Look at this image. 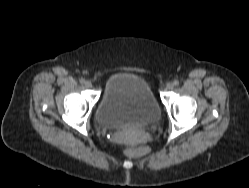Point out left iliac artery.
I'll list each match as a JSON object with an SVG mask.
<instances>
[{"label":"left iliac artery","instance_id":"1","mask_svg":"<svg viewBox=\"0 0 249 188\" xmlns=\"http://www.w3.org/2000/svg\"><path fill=\"white\" fill-rule=\"evenodd\" d=\"M173 84H174L175 86H178V85H179V81H178V80H175V81L173 82Z\"/></svg>","mask_w":249,"mask_h":188}]
</instances>
